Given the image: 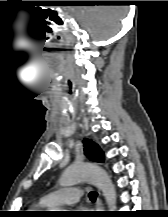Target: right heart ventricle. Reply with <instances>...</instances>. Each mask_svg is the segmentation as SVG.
Returning <instances> with one entry per match:
<instances>
[{"mask_svg": "<svg viewBox=\"0 0 168 217\" xmlns=\"http://www.w3.org/2000/svg\"><path fill=\"white\" fill-rule=\"evenodd\" d=\"M45 207H47V206L42 201H39L38 203L33 204L29 210H30V212L35 213L37 211L42 210Z\"/></svg>", "mask_w": 168, "mask_h": 217, "instance_id": "obj_1", "label": "right heart ventricle"}]
</instances>
